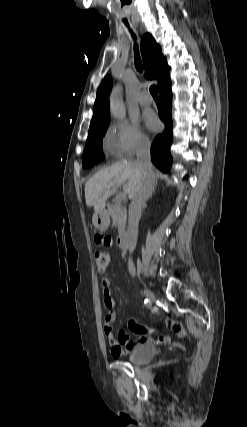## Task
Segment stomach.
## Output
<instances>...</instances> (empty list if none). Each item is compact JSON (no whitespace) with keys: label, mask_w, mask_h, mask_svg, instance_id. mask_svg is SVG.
Returning <instances> with one entry per match:
<instances>
[{"label":"stomach","mask_w":247,"mask_h":427,"mask_svg":"<svg viewBox=\"0 0 247 427\" xmlns=\"http://www.w3.org/2000/svg\"><path fill=\"white\" fill-rule=\"evenodd\" d=\"M92 222L94 227L99 231H104L109 227L110 219L109 213L106 209L101 208L97 212L94 213Z\"/></svg>","instance_id":"1"}]
</instances>
